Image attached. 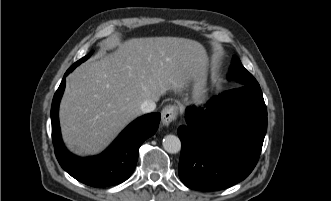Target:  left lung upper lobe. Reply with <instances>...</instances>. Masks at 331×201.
Segmentation results:
<instances>
[{"label": "left lung upper lobe", "mask_w": 331, "mask_h": 201, "mask_svg": "<svg viewBox=\"0 0 331 201\" xmlns=\"http://www.w3.org/2000/svg\"><path fill=\"white\" fill-rule=\"evenodd\" d=\"M230 77L243 85L258 83L252 74L243 67L237 56H233L232 65L230 67Z\"/></svg>", "instance_id": "left-lung-upper-lobe-1"}]
</instances>
